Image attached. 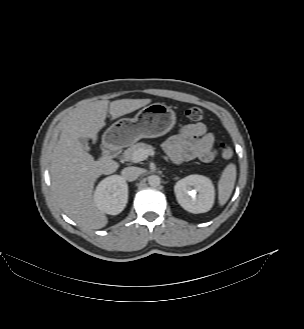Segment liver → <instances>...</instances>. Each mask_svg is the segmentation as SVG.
<instances>
[{"label":"liver","mask_w":304,"mask_h":329,"mask_svg":"<svg viewBox=\"0 0 304 329\" xmlns=\"http://www.w3.org/2000/svg\"><path fill=\"white\" fill-rule=\"evenodd\" d=\"M151 99L99 100L80 108L66 123L55 146L50 166L54 196L63 212L82 227L101 229L108 219L93 198L96 179L117 170L119 164L109 157H94L84 151L79 138L95 142L98 132L106 125L107 112L112 119L146 106Z\"/></svg>","instance_id":"1"}]
</instances>
